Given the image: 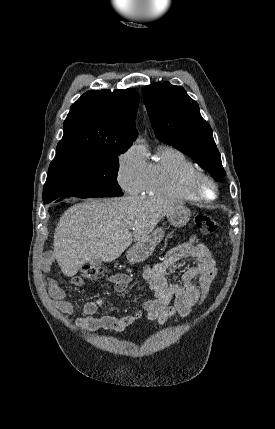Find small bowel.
I'll return each instance as SVG.
<instances>
[{"label":"small bowel","instance_id":"1","mask_svg":"<svg viewBox=\"0 0 275 429\" xmlns=\"http://www.w3.org/2000/svg\"><path fill=\"white\" fill-rule=\"evenodd\" d=\"M186 258L193 259L194 264L182 273L179 283L168 282L167 272L175 263ZM216 273L215 260L210 250L193 235L187 242L169 250L163 260L155 266L143 267L144 278L149 283L153 296L148 298L133 315L121 317L110 314L98 315L97 311L105 301L104 296L79 307L66 300L64 290L55 282L48 285V292L54 307L66 317L77 312L81 313L73 320L79 328L87 331L99 329L124 331L140 318L163 325L174 316H188L195 305L201 304L206 299ZM195 279L198 281L195 282ZM108 280L118 292L126 290L131 282L130 276L123 273L113 274ZM71 281L75 286L85 284V280L79 275L73 276ZM172 300L174 303L171 305Z\"/></svg>","mask_w":275,"mask_h":429}]
</instances>
